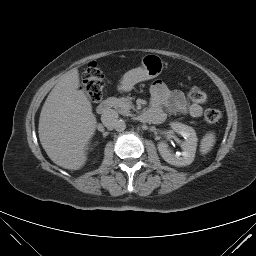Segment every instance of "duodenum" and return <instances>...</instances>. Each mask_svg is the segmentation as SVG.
I'll return each instance as SVG.
<instances>
[{"label": "duodenum", "mask_w": 256, "mask_h": 256, "mask_svg": "<svg viewBox=\"0 0 256 256\" xmlns=\"http://www.w3.org/2000/svg\"><path fill=\"white\" fill-rule=\"evenodd\" d=\"M112 108V101L111 100H104L97 106V112L99 114H106ZM142 119L146 121H150L149 114L146 112L142 115Z\"/></svg>", "instance_id": "obj_1"}]
</instances>
